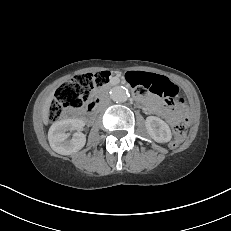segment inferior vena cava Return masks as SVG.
Segmentation results:
<instances>
[{
  "instance_id": "602c4592",
  "label": "inferior vena cava",
  "mask_w": 231,
  "mask_h": 231,
  "mask_svg": "<svg viewBox=\"0 0 231 231\" xmlns=\"http://www.w3.org/2000/svg\"><path fill=\"white\" fill-rule=\"evenodd\" d=\"M110 104V98L108 96L104 97L101 104H100V107L101 108H105L107 107L108 105Z\"/></svg>"
}]
</instances>
